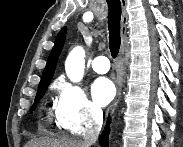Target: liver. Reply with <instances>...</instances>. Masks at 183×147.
I'll use <instances>...</instances> for the list:
<instances>
[{"mask_svg": "<svg viewBox=\"0 0 183 147\" xmlns=\"http://www.w3.org/2000/svg\"><path fill=\"white\" fill-rule=\"evenodd\" d=\"M26 147H86L83 142L69 139L39 138L31 140Z\"/></svg>", "mask_w": 183, "mask_h": 147, "instance_id": "liver-1", "label": "liver"}]
</instances>
